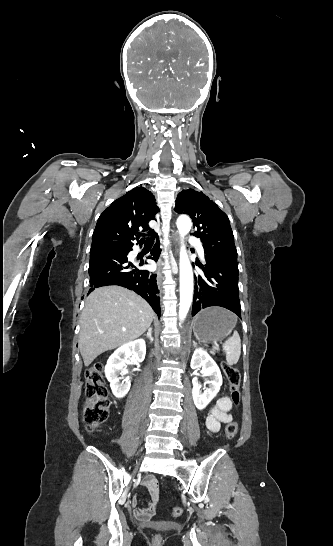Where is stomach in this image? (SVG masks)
<instances>
[{"instance_id": "stomach-1", "label": "stomach", "mask_w": 333, "mask_h": 546, "mask_svg": "<svg viewBox=\"0 0 333 546\" xmlns=\"http://www.w3.org/2000/svg\"><path fill=\"white\" fill-rule=\"evenodd\" d=\"M236 321L231 312L210 307L201 311L193 320V332L202 343H217L226 338L234 329Z\"/></svg>"}]
</instances>
